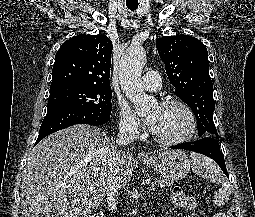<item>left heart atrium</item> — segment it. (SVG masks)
<instances>
[{"label": "left heart atrium", "mask_w": 255, "mask_h": 217, "mask_svg": "<svg viewBox=\"0 0 255 217\" xmlns=\"http://www.w3.org/2000/svg\"><path fill=\"white\" fill-rule=\"evenodd\" d=\"M155 124H156V120H155L154 117L148 118V120H147V122H146V125H147V128H148L151 132H154Z\"/></svg>", "instance_id": "39dd6f15"}]
</instances>
